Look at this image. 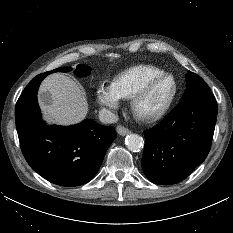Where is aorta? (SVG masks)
Here are the masks:
<instances>
[{"mask_svg": "<svg viewBox=\"0 0 233 233\" xmlns=\"http://www.w3.org/2000/svg\"><path fill=\"white\" fill-rule=\"evenodd\" d=\"M127 148L132 152H138L143 148V138L138 134H130L125 138Z\"/></svg>", "mask_w": 233, "mask_h": 233, "instance_id": "1", "label": "aorta"}]
</instances>
